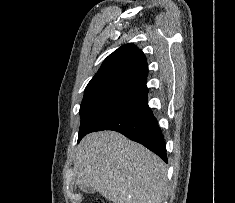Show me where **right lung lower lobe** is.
Masks as SVG:
<instances>
[{
  "label": "right lung lower lobe",
  "instance_id": "1",
  "mask_svg": "<svg viewBox=\"0 0 235 203\" xmlns=\"http://www.w3.org/2000/svg\"><path fill=\"white\" fill-rule=\"evenodd\" d=\"M114 130L136 141L167 162L164 136L147 103V94L99 122L90 132Z\"/></svg>",
  "mask_w": 235,
  "mask_h": 203
}]
</instances>
